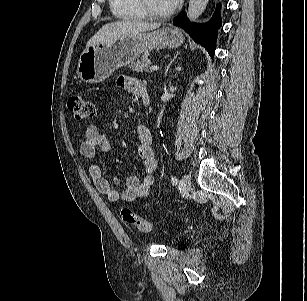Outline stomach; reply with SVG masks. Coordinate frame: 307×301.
I'll list each match as a JSON object with an SVG mask.
<instances>
[{
	"instance_id": "stomach-1",
	"label": "stomach",
	"mask_w": 307,
	"mask_h": 301,
	"mask_svg": "<svg viewBox=\"0 0 307 301\" xmlns=\"http://www.w3.org/2000/svg\"><path fill=\"white\" fill-rule=\"evenodd\" d=\"M184 41L179 29L165 27L149 33L119 37L86 48L80 55L77 74L86 83H100L120 67L132 63L143 52L177 48Z\"/></svg>"
}]
</instances>
